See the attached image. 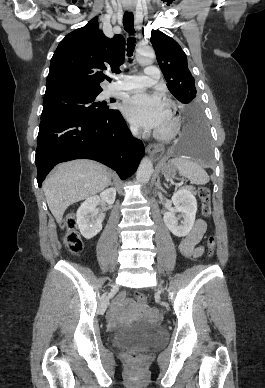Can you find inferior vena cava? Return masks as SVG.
<instances>
[{
  "label": "inferior vena cava",
  "instance_id": "inferior-vena-cava-1",
  "mask_svg": "<svg viewBox=\"0 0 265 388\" xmlns=\"http://www.w3.org/2000/svg\"><path fill=\"white\" fill-rule=\"evenodd\" d=\"M130 130L133 136H138V128H135V126H131Z\"/></svg>",
  "mask_w": 265,
  "mask_h": 388
}]
</instances>
